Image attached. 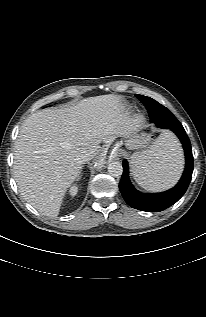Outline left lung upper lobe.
Returning a JSON list of instances; mask_svg holds the SVG:
<instances>
[{"instance_id": "5c2ea615", "label": "left lung upper lobe", "mask_w": 206, "mask_h": 317, "mask_svg": "<svg viewBox=\"0 0 206 317\" xmlns=\"http://www.w3.org/2000/svg\"><path fill=\"white\" fill-rule=\"evenodd\" d=\"M136 97L145 105L146 109H147V105H149V107H150V106H153L152 103H158L154 99H152L150 97L143 96V95L137 94ZM147 112H148V110H147ZM150 118H151L152 122H154L156 124H159V120L158 119L153 118V117H150ZM175 121H177L179 123V121L176 118H175Z\"/></svg>"}]
</instances>
